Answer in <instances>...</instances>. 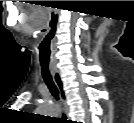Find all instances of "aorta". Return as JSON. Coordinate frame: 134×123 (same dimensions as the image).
<instances>
[{
	"label": "aorta",
	"mask_w": 134,
	"mask_h": 123,
	"mask_svg": "<svg viewBox=\"0 0 134 123\" xmlns=\"http://www.w3.org/2000/svg\"><path fill=\"white\" fill-rule=\"evenodd\" d=\"M40 112L44 113V114L51 115V117L56 116L58 114V110L53 103L42 104L40 107Z\"/></svg>",
	"instance_id": "aorta-1"
}]
</instances>
